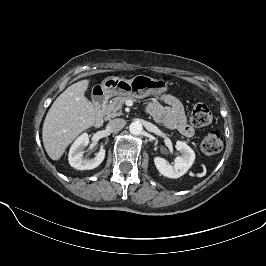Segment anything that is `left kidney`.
Segmentation results:
<instances>
[{"label":"left kidney","instance_id":"obj_1","mask_svg":"<svg viewBox=\"0 0 266 266\" xmlns=\"http://www.w3.org/2000/svg\"><path fill=\"white\" fill-rule=\"evenodd\" d=\"M176 149L181 153V156L176 157L174 165L169 164L162 157L157 156L154 158L157 170L165 177L179 178L184 175L194 163L195 153L186 143L177 141Z\"/></svg>","mask_w":266,"mask_h":266}]
</instances>
